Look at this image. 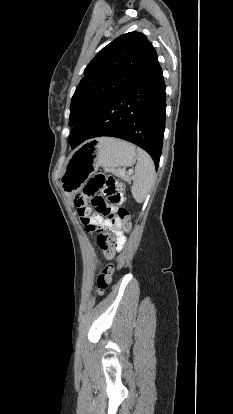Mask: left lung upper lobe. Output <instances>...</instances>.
<instances>
[{"label": "left lung upper lobe", "instance_id": "5c2ea615", "mask_svg": "<svg viewBox=\"0 0 233 414\" xmlns=\"http://www.w3.org/2000/svg\"><path fill=\"white\" fill-rule=\"evenodd\" d=\"M157 61L144 34L130 32L105 46L88 64L71 100L69 125L86 120L106 101L124 91Z\"/></svg>", "mask_w": 233, "mask_h": 414}]
</instances>
